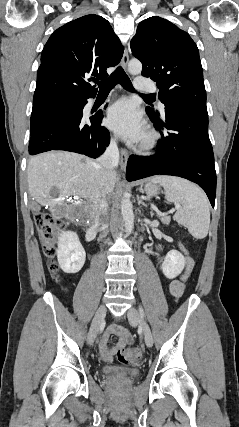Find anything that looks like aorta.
<instances>
[{
    "mask_svg": "<svg viewBox=\"0 0 239 427\" xmlns=\"http://www.w3.org/2000/svg\"><path fill=\"white\" fill-rule=\"evenodd\" d=\"M128 71L132 75H138L142 71V64L137 59H132L128 64ZM121 214L125 223L127 234H131L134 227L133 206L128 194L125 193L121 200Z\"/></svg>",
    "mask_w": 239,
    "mask_h": 427,
    "instance_id": "aorta-1",
    "label": "aorta"
}]
</instances>
